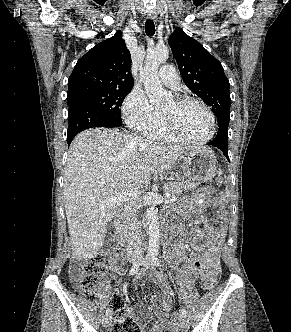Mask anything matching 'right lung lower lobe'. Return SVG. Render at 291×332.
Instances as JSON below:
<instances>
[{
	"mask_svg": "<svg viewBox=\"0 0 291 332\" xmlns=\"http://www.w3.org/2000/svg\"><path fill=\"white\" fill-rule=\"evenodd\" d=\"M67 143L81 131L93 127H119L106 113L89 103L78 102L69 107Z\"/></svg>",
	"mask_w": 291,
	"mask_h": 332,
	"instance_id": "1",
	"label": "right lung lower lobe"
}]
</instances>
